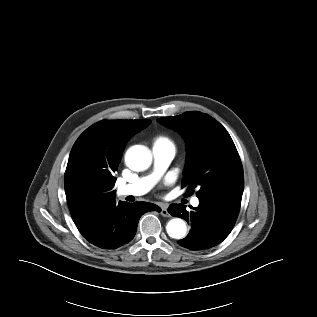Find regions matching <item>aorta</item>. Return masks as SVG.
I'll list each match as a JSON object with an SVG mask.
<instances>
[{
    "label": "aorta",
    "instance_id": "1",
    "mask_svg": "<svg viewBox=\"0 0 317 317\" xmlns=\"http://www.w3.org/2000/svg\"><path fill=\"white\" fill-rule=\"evenodd\" d=\"M126 165L134 171H143L152 163L151 151L142 145L130 147L125 154ZM166 231L171 238L182 239L187 232V226L181 218L171 219L166 226Z\"/></svg>",
    "mask_w": 317,
    "mask_h": 317
}]
</instances>
